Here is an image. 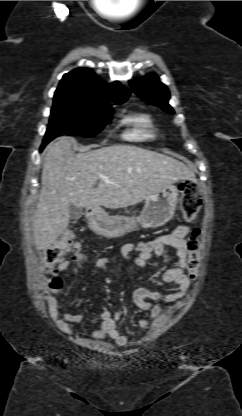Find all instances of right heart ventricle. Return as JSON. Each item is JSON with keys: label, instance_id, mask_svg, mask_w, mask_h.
I'll return each instance as SVG.
<instances>
[{"label": "right heart ventricle", "instance_id": "e07e8e85", "mask_svg": "<svg viewBox=\"0 0 242 416\" xmlns=\"http://www.w3.org/2000/svg\"><path fill=\"white\" fill-rule=\"evenodd\" d=\"M126 121L132 126V130L128 133L131 139L142 140L152 137L153 122L148 114H138L128 116Z\"/></svg>", "mask_w": 242, "mask_h": 416}]
</instances>
